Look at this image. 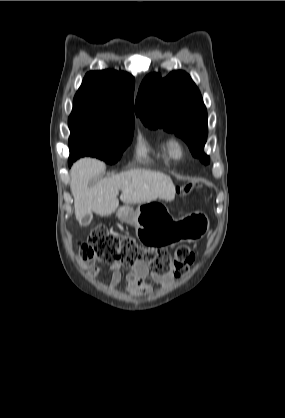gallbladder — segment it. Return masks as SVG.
Returning a JSON list of instances; mask_svg holds the SVG:
<instances>
[{
  "instance_id": "gallbladder-1",
  "label": "gallbladder",
  "mask_w": 285,
  "mask_h": 418,
  "mask_svg": "<svg viewBox=\"0 0 285 418\" xmlns=\"http://www.w3.org/2000/svg\"><path fill=\"white\" fill-rule=\"evenodd\" d=\"M92 218H93L92 213L86 214V215H84V216L82 217V219H81V221H80V224H81L82 226H87V225H89V224H90V222H91Z\"/></svg>"
}]
</instances>
